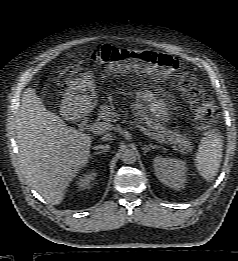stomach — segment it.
<instances>
[{"mask_svg": "<svg viewBox=\"0 0 238 261\" xmlns=\"http://www.w3.org/2000/svg\"><path fill=\"white\" fill-rule=\"evenodd\" d=\"M68 89L64 95L63 106L74 115L85 114L96 105L93 74L82 68H75L66 80Z\"/></svg>", "mask_w": 238, "mask_h": 261, "instance_id": "1", "label": "stomach"}]
</instances>
